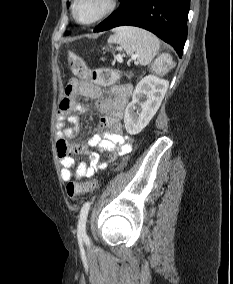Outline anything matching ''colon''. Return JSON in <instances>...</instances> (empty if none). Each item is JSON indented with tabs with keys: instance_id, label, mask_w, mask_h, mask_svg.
<instances>
[{
	"instance_id": "colon-1",
	"label": "colon",
	"mask_w": 233,
	"mask_h": 284,
	"mask_svg": "<svg viewBox=\"0 0 233 284\" xmlns=\"http://www.w3.org/2000/svg\"><path fill=\"white\" fill-rule=\"evenodd\" d=\"M67 61L72 72L79 78L89 80L97 85L108 86L115 83L120 77L121 72L112 68L90 69L85 61L76 53L69 52ZM173 66V59L169 53H161L153 62L152 68L158 76L165 75ZM95 180L84 182H69L66 186L67 195L74 198L89 192L96 188Z\"/></svg>"
}]
</instances>
